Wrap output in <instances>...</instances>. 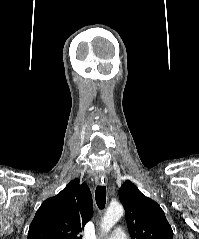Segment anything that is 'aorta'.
Returning <instances> with one entry per match:
<instances>
[{"label": "aorta", "mask_w": 199, "mask_h": 239, "mask_svg": "<svg viewBox=\"0 0 199 239\" xmlns=\"http://www.w3.org/2000/svg\"><path fill=\"white\" fill-rule=\"evenodd\" d=\"M124 209L120 204H111L101 221V230L107 234L116 222L123 216Z\"/></svg>", "instance_id": "1"}]
</instances>
